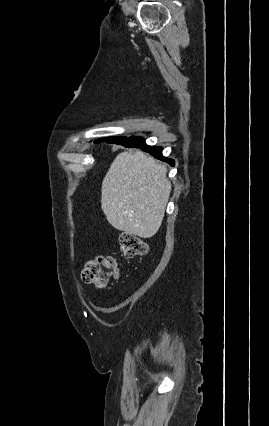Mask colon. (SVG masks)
Here are the masks:
<instances>
[{"label":"colon","mask_w":269,"mask_h":426,"mask_svg":"<svg viewBox=\"0 0 269 426\" xmlns=\"http://www.w3.org/2000/svg\"><path fill=\"white\" fill-rule=\"evenodd\" d=\"M119 244L125 257L132 258L147 253L148 246L143 238L128 232H120ZM122 270L117 260L110 255L97 256L86 261L82 269V280L95 286H105L110 279H119Z\"/></svg>","instance_id":"1"}]
</instances>
